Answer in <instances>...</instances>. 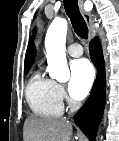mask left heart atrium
<instances>
[{"label":"left heart atrium","mask_w":119,"mask_h":141,"mask_svg":"<svg viewBox=\"0 0 119 141\" xmlns=\"http://www.w3.org/2000/svg\"><path fill=\"white\" fill-rule=\"evenodd\" d=\"M70 73L69 93L74 99H83L89 93L93 84V68L86 59H78L71 63Z\"/></svg>","instance_id":"left-heart-atrium-1"}]
</instances>
